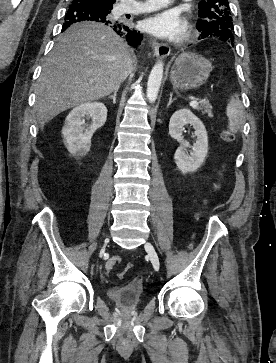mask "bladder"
I'll return each mask as SVG.
<instances>
[{
  "instance_id": "obj_1",
  "label": "bladder",
  "mask_w": 276,
  "mask_h": 363,
  "mask_svg": "<svg viewBox=\"0 0 276 363\" xmlns=\"http://www.w3.org/2000/svg\"><path fill=\"white\" fill-rule=\"evenodd\" d=\"M109 299L124 308H134L143 301L144 289L140 285L130 283L123 286L111 287L107 290Z\"/></svg>"
}]
</instances>
